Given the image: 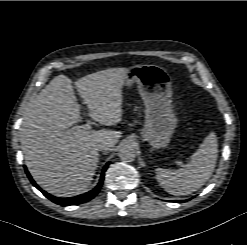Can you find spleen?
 <instances>
[{
    "instance_id": "3e777b00",
    "label": "spleen",
    "mask_w": 247,
    "mask_h": 245,
    "mask_svg": "<svg viewBox=\"0 0 247 245\" xmlns=\"http://www.w3.org/2000/svg\"><path fill=\"white\" fill-rule=\"evenodd\" d=\"M218 157V142L211 132L193 153L189 162L177 170L156 169L160 186L174 196H185L197 191L211 177Z\"/></svg>"
}]
</instances>
